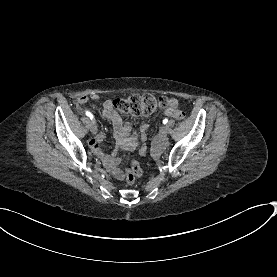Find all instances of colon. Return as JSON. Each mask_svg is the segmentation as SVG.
I'll return each instance as SVG.
<instances>
[{
    "label": "colon",
    "mask_w": 277,
    "mask_h": 277,
    "mask_svg": "<svg viewBox=\"0 0 277 277\" xmlns=\"http://www.w3.org/2000/svg\"><path fill=\"white\" fill-rule=\"evenodd\" d=\"M116 108L122 114H132L134 116L148 115L157 110H163L167 107V100L162 96L153 94L133 95L129 98H114L112 99ZM184 113L176 112V119L182 120ZM140 173V167L133 163L132 170H127L126 178L128 183H133L135 177Z\"/></svg>",
    "instance_id": "colon-1"
}]
</instances>
